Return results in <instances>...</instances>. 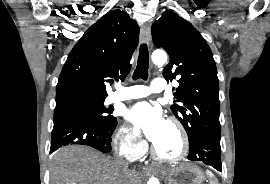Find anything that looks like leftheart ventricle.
<instances>
[{"instance_id":"left-heart-ventricle-1","label":"left heart ventricle","mask_w":270,"mask_h":184,"mask_svg":"<svg viewBox=\"0 0 270 184\" xmlns=\"http://www.w3.org/2000/svg\"><path fill=\"white\" fill-rule=\"evenodd\" d=\"M154 145L161 155L165 157L176 156L181 149V140L175 127L167 123L162 137Z\"/></svg>"}]
</instances>
